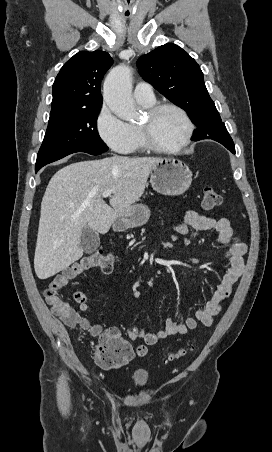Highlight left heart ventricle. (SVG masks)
Wrapping results in <instances>:
<instances>
[{"label":"left heart ventricle","instance_id":"obj_1","mask_svg":"<svg viewBox=\"0 0 272 452\" xmlns=\"http://www.w3.org/2000/svg\"><path fill=\"white\" fill-rule=\"evenodd\" d=\"M142 123L147 125L151 139L162 146L177 144L185 132L182 117L173 110H162L151 118L146 116Z\"/></svg>","mask_w":272,"mask_h":452}]
</instances>
